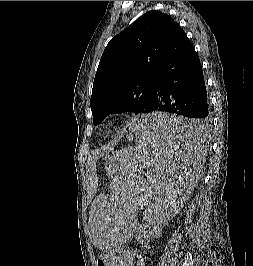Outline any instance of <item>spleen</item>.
<instances>
[{"instance_id": "3e777b00", "label": "spleen", "mask_w": 253, "mask_h": 266, "mask_svg": "<svg viewBox=\"0 0 253 266\" xmlns=\"http://www.w3.org/2000/svg\"><path fill=\"white\" fill-rule=\"evenodd\" d=\"M121 153H113L112 207H93L89 235L93 246L131 248L138 210L146 219L169 217L181 204H189L190 191L201 177L205 123L176 111H149L130 117ZM148 226V223H144Z\"/></svg>"}]
</instances>
